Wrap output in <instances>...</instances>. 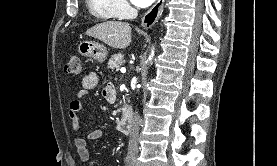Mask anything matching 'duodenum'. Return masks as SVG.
Here are the masks:
<instances>
[{"label":"duodenum","instance_id":"410a0bca","mask_svg":"<svg viewBox=\"0 0 277 166\" xmlns=\"http://www.w3.org/2000/svg\"><path fill=\"white\" fill-rule=\"evenodd\" d=\"M132 113L128 106L123 109L122 115L118 122V129L122 133H129L131 130Z\"/></svg>","mask_w":277,"mask_h":166}]
</instances>
